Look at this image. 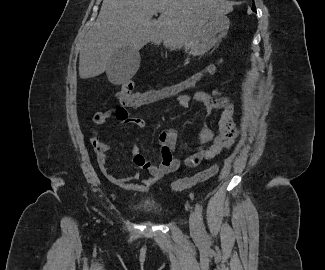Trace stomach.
<instances>
[{"mask_svg":"<svg viewBox=\"0 0 325 270\" xmlns=\"http://www.w3.org/2000/svg\"><path fill=\"white\" fill-rule=\"evenodd\" d=\"M229 25V18L225 15L210 19L195 40L185 45V52L193 56L205 54L227 34Z\"/></svg>","mask_w":325,"mask_h":270,"instance_id":"0dacf381","label":"stomach"}]
</instances>
